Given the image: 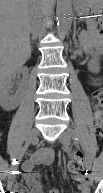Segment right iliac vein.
<instances>
[{
	"label": "right iliac vein",
	"instance_id": "63e3f726",
	"mask_svg": "<svg viewBox=\"0 0 103 193\" xmlns=\"http://www.w3.org/2000/svg\"><path fill=\"white\" fill-rule=\"evenodd\" d=\"M38 134H39V132H38L37 129H32V130L30 131L28 137H27V142H26V143H27V144L34 143V142L36 141L37 137H38ZM17 167H18V164L13 165V166L11 167V171H10V178H11V179H13L14 174H15V172H16V170H17Z\"/></svg>",
	"mask_w": 103,
	"mask_h": 193
}]
</instances>
